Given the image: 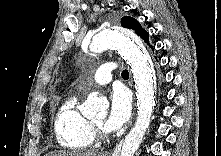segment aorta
Masks as SVG:
<instances>
[{
  "label": "aorta",
  "instance_id": "1",
  "mask_svg": "<svg viewBox=\"0 0 221 156\" xmlns=\"http://www.w3.org/2000/svg\"><path fill=\"white\" fill-rule=\"evenodd\" d=\"M89 48L93 52L115 49L131 68L137 93V119L120 151L113 156H133L142 142L155 106L156 76L150 55L132 31L120 27H108L95 34ZM107 109V99L92 92L80 111L85 117L92 118L106 116Z\"/></svg>",
  "mask_w": 221,
  "mask_h": 156
}]
</instances>
